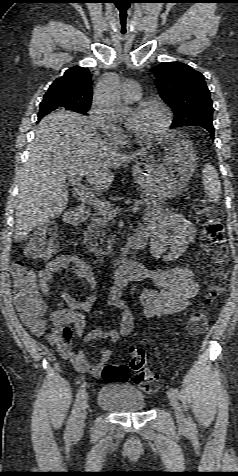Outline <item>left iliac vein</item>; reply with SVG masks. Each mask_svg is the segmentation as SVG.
Returning <instances> with one entry per match:
<instances>
[{"instance_id": "4c4485c4", "label": "left iliac vein", "mask_w": 238, "mask_h": 476, "mask_svg": "<svg viewBox=\"0 0 238 476\" xmlns=\"http://www.w3.org/2000/svg\"><path fill=\"white\" fill-rule=\"evenodd\" d=\"M167 396H168V399L170 401L171 406L174 409L175 416H176L178 424L182 427L186 426L187 421L185 419V416L183 414V411H182V409L179 405V402H178L177 398L172 394L171 391L167 392Z\"/></svg>"}]
</instances>
